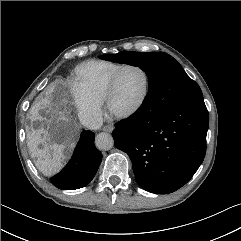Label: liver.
I'll return each mask as SVG.
<instances>
[{
	"label": "liver",
	"mask_w": 241,
	"mask_h": 241,
	"mask_svg": "<svg viewBox=\"0 0 241 241\" xmlns=\"http://www.w3.org/2000/svg\"><path fill=\"white\" fill-rule=\"evenodd\" d=\"M62 108L63 106L42 98L30 109L31 120L40 121L42 126L38 131L27 130V145L35 166L46 176H51L62 168L64 151L71 148L78 138V125L70 117L66 106ZM50 131L58 136L60 144H48L52 135Z\"/></svg>",
	"instance_id": "obj_1"
}]
</instances>
